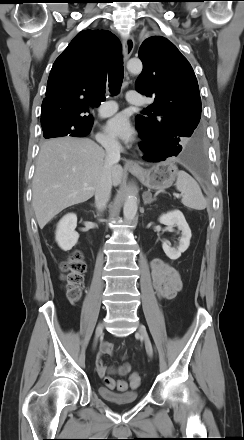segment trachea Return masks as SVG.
I'll return each instance as SVG.
<instances>
[{"instance_id": "trachea-1", "label": "trachea", "mask_w": 244, "mask_h": 440, "mask_svg": "<svg viewBox=\"0 0 244 440\" xmlns=\"http://www.w3.org/2000/svg\"><path fill=\"white\" fill-rule=\"evenodd\" d=\"M124 77L123 60L122 57L116 58L109 69V89L111 94L117 95L120 92Z\"/></svg>"}]
</instances>
